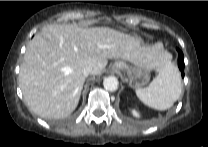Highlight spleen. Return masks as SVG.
Wrapping results in <instances>:
<instances>
[{"instance_id": "spleen-1", "label": "spleen", "mask_w": 208, "mask_h": 147, "mask_svg": "<svg viewBox=\"0 0 208 147\" xmlns=\"http://www.w3.org/2000/svg\"><path fill=\"white\" fill-rule=\"evenodd\" d=\"M182 93L181 76L178 68L166 60L158 75L146 88L136 89L137 97L148 107L156 110L171 108Z\"/></svg>"}]
</instances>
